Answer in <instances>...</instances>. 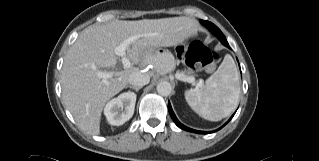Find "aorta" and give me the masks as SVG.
<instances>
[{
    "label": "aorta",
    "instance_id": "aorta-1",
    "mask_svg": "<svg viewBox=\"0 0 319 161\" xmlns=\"http://www.w3.org/2000/svg\"><path fill=\"white\" fill-rule=\"evenodd\" d=\"M172 91L171 84L167 81H162L157 85V92L161 96H168Z\"/></svg>",
    "mask_w": 319,
    "mask_h": 161
}]
</instances>
